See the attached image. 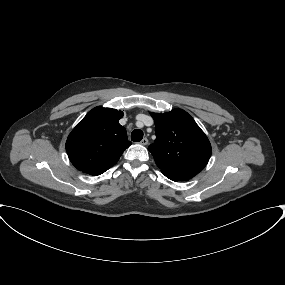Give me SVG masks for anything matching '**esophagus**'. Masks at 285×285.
<instances>
[{"mask_svg": "<svg viewBox=\"0 0 285 285\" xmlns=\"http://www.w3.org/2000/svg\"><path fill=\"white\" fill-rule=\"evenodd\" d=\"M140 144L142 145H147L148 144V139L147 138H143L140 142Z\"/></svg>", "mask_w": 285, "mask_h": 285, "instance_id": "obj_1", "label": "esophagus"}]
</instances>
